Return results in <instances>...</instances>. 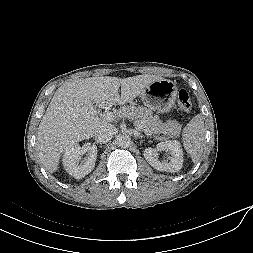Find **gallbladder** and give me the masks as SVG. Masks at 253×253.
<instances>
[{
    "label": "gallbladder",
    "mask_w": 253,
    "mask_h": 253,
    "mask_svg": "<svg viewBox=\"0 0 253 253\" xmlns=\"http://www.w3.org/2000/svg\"><path fill=\"white\" fill-rule=\"evenodd\" d=\"M94 107H95V108H97V105H96V104H94Z\"/></svg>",
    "instance_id": "gallbladder-1"
}]
</instances>
